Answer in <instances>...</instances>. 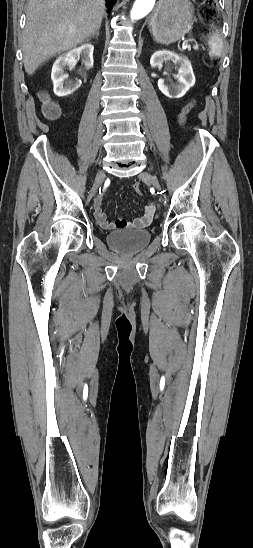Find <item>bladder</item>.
I'll use <instances>...</instances> for the list:
<instances>
[{
    "label": "bladder",
    "mask_w": 253,
    "mask_h": 548,
    "mask_svg": "<svg viewBox=\"0 0 253 548\" xmlns=\"http://www.w3.org/2000/svg\"><path fill=\"white\" fill-rule=\"evenodd\" d=\"M151 239L147 229L117 230L107 234V243L124 253H136L143 249Z\"/></svg>",
    "instance_id": "1"
}]
</instances>
